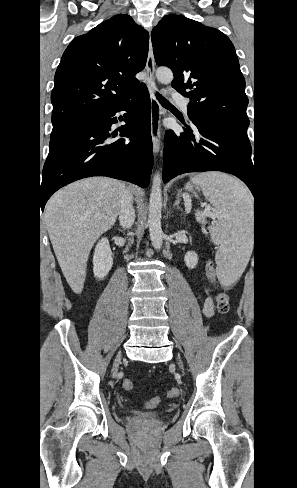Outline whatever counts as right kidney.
<instances>
[{
    "mask_svg": "<svg viewBox=\"0 0 297 488\" xmlns=\"http://www.w3.org/2000/svg\"><path fill=\"white\" fill-rule=\"evenodd\" d=\"M113 265L112 252L107 238H102L95 247L93 256V273L96 279L107 276Z\"/></svg>",
    "mask_w": 297,
    "mask_h": 488,
    "instance_id": "right-kidney-1",
    "label": "right kidney"
}]
</instances>
